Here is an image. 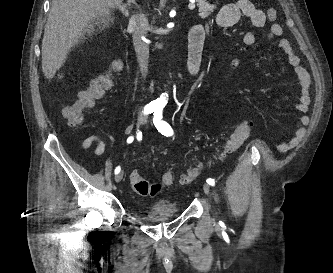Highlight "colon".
I'll use <instances>...</instances> for the list:
<instances>
[{"instance_id": "obj_1", "label": "colon", "mask_w": 333, "mask_h": 273, "mask_svg": "<svg viewBox=\"0 0 333 273\" xmlns=\"http://www.w3.org/2000/svg\"><path fill=\"white\" fill-rule=\"evenodd\" d=\"M266 16L269 21H274L277 17V12L274 8H269L266 11ZM120 69L121 63L119 61L114 62L107 74L92 81L89 87L79 94L78 99L72 105L65 108L64 116L70 126L74 127L82 121L83 111L86 108H91L97 100L102 98L105 91L112 86V75ZM252 126V121H244L236 126L225 142L220 159H224L225 157L234 154L242 146L250 135ZM197 174L198 169L194 168L182 175L181 182L187 184L191 182ZM129 180L133 190L141 196H154L160 190V185L151 184L136 170H133L130 173ZM162 182L166 186L172 185L174 183L173 174L171 172L164 173L162 176Z\"/></svg>"}]
</instances>
